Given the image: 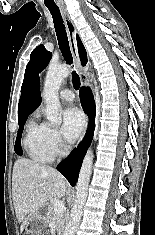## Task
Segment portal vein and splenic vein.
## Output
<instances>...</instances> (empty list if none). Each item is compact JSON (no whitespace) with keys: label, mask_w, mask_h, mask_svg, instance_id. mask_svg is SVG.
Wrapping results in <instances>:
<instances>
[{"label":"portal vein and splenic vein","mask_w":155,"mask_h":235,"mask_svg":"<svg viewBox=\"0 0 155 235\" xmlns=\"http://www.w3.org/2000/svg\"><path fill=\"white\" fill-rule=\"evenodd\" d=\"M64 203L61 200H56L53 204V210L55 214H61L64 211Z\"/></svg>","instance_id":"portal-vein-and-splenic-vein-1"}]
</instances>
